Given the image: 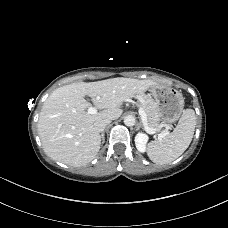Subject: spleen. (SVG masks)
I'll list each match as a JSON object with an SVG mask.
<instances>
[{
  "instance_id": "1",
  "label": "spleen",
  "mask_w": 228,
  "mask_h": 228,
  "mask_svg": "<svg viewBox=\"0 0 228 228\" xmlns=\"http://www.w3.org/2000/svg\"><path fill=\"white\" fill-rule=\"evenodd\" d=\"M196 116L193 109H186L172 133L148 144V157L156 164H168L189 147L195 130Z\"/></svg>"
}]
</instances>
